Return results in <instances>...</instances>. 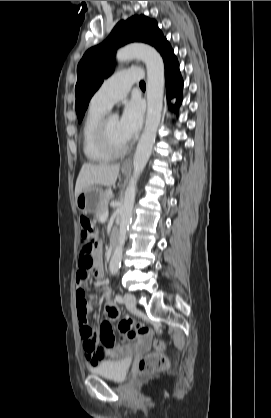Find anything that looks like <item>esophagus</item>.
Here are the masks:
<instances>
[{"mask_svg": "<svg viewBox=\"0 0 271 418\" xmlns=\"http://www.w3.org/2000/svg\"><path fill=\"white\" fill-rule=\"evenodd\" d=\"M132 164V160L131 158H127L124 162H123V166L124 167H128Z\"/></svg>", "mask_w": 271, "mask_h": 418, "instance_id": "1", "label": "esophagus"}]
</instances>
